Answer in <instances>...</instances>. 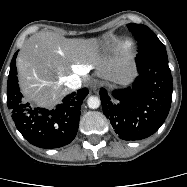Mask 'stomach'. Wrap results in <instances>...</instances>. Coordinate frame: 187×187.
I'll list each match as a JSON object with an SVG mask.
<instances>
[{
	"label": "stomach",
	"mask_w": 187,
	"mask_h": 187,
	"mask_svg": "<svg viewBox=\"0 0 187 187\" xmlns=\"http://www.w3.org/2000/svg\"><path fill=\"white\" fill-rule=\"evenodd\" d=\"M129 82V78L127 79V81L126 82H124L123 84H127Z\"/></svg>",
	"instance_id": "stomach-1"
}]
</instances>
